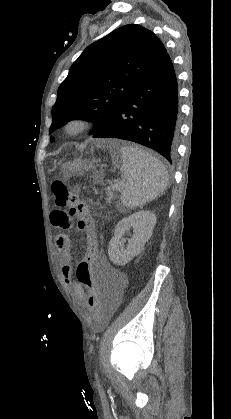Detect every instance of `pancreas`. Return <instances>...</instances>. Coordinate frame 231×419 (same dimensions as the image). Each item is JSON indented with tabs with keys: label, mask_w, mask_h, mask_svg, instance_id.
<instances>
[{
	"label": "pancreas",
	"mask_w": 231,
	"mask_h": 419,
	"mask_svg": "<svg viewBox=\"0 0 231 419\" xmlns=\"http://www.w3.org/2000/svg\"><path fill=\"white\" fill-rule=\"evenodd\" d=\"M106 194H107V197H108L106 200H107V202H109V203H110V202L112 201V199H113V195H114V194H113V192H112L111 190H108V191L106 192Z\"/></svg>",
	"instance_id": "obj_1"
}]
</instances>
